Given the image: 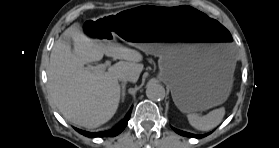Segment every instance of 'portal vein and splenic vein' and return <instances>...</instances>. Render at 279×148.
<instances>
[{"label": "portal vein and splenic vein", "mask_w": 279, "mask_h": 148, "mask_svg": "<svg viewBox=\"0 0 279 148\" xmlns=\"http://www.w3.org/2000/svg\"><path fill=\"white\" fill-rule=\"evenodd\" d=\"M110 66V62L109 61H106V63L104 64H99L97 66H91L89 65L87 68L93 72H104L106 70V68Z\"/></svg>", "instance_id": "18ae733b"}]
</instances>
